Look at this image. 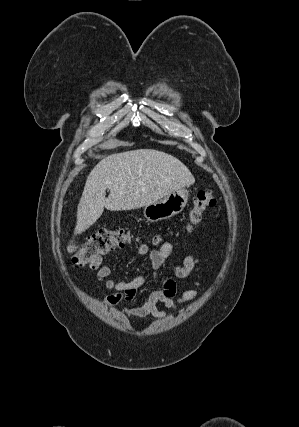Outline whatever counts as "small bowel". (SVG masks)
Masks as SVG:
<instances>
[{
  "mask_svg": "<svg viewBox=\"0 0 299 427\" xmlns=\"http://www.w3.org/2000/svg\"><path fill=\"white\" fill-rule=\"evenodd\" d=\"M171 244L163 243L157 249H150L145 243H140L137 246V252L141 256H148L153 267V280L157 288L149 293L146 300L141 306L133 308H123L125 315L132 318L142 319L148 316H153L163 319L167 313L157 307L158 303H163L167 308L176 310L179 304L194 300L198 294L200 286L199 281H195L192 288L185 290L180 296L176 297V282L174 278L161 279L159 270L164 266L171 255ZM199 259L196 256L189 255L180 263L172 264L174 277L177 279H186L193 272L200 271ZM91 269L96 271L97 279L104 285L114 290L113 294L106 296L102 303L110 307H121L122 302H132L136 299L137 292L145 283V275L142 273L130 281H114L109 277L112 273V268L107 265H102L100 261L91 266Z\"/></svg>",
  "mask_w": 299,
  "mask_h": 427,
  "instance_id": "c3829d8e",
  "label": "small bowel"
}]
</instances>
